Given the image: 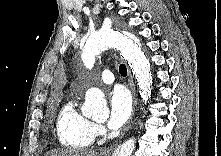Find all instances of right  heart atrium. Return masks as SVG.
Segmentation results:
<instances>
[{"mask_svg": "<svg viewBox=\"0 0 221 156\" xmlns=\"http://www.w3.org/2000/svg\"><path fill=\"white\" fill-rule=\"evenodd\" d=\"M103 127L99 124H93V131L95 135H99L103 132Z\"/></svg>", "mask_w": 221, "mask_h": 156, "instance_id": "right-heart-atrium-1", "label": "right heart atrium"}]
</instances>
